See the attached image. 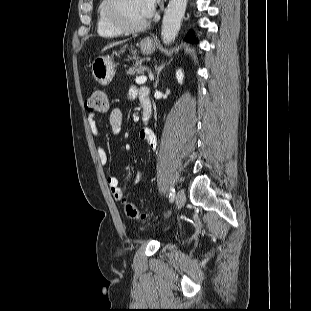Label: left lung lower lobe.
Listing matches in <instances>:
<instances>
[{"instance_id": "0a47b994", "label": "left lung lower lobe", "mask_w": 311, "mask_h": 311, "mask_svg": "<svg viewBox=\"0 0 311 311\" xmlns=\"http://www.w3.org/2000/svg\"><path fill=\"white\" fill-rule=\"evenodd\" d=\"M185 41H188V42H197V40L195 39L193 33L190 31L186 37H185Z\"/></svg>"}]
</instances>
